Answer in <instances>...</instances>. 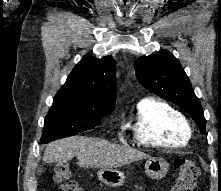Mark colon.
<instances>
[{"label":"colon","instance_id":"obj_1","mask_svg":"<svg viewBox=\"0 0 221 191\" xmlns=\"http://www.w3.org/2000/svg\"><path fill=\"white\" fill-rule=\"evenodd\" d=\"M178 176L172 191H191L199 176V169L195 162L178 158L174 161ZM53 180L59 185L58 191H84L71 177V170L67 164H58L53 172Z\"/></svg>","mask_w":221,"mask_h":191}]
</instances>
